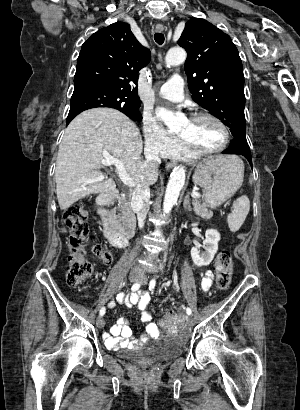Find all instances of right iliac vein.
Returning a JSON list of instances; mask_svg holds the SVG:
<instances>
[{
	"label": "right iliac vein",
	"instance_id": "63e3f726",
	"mask_svg": "<svg viewBox=\"0 0 300 410\" xmlns=\"http://www.w3.org/2000/svg\"><path fill=\"white\" fill-rule=\"evenodd\" d=\"M129 280H130V282H137V281L139 280L138 274L135 273V272L130 273V274H129ZM96 324H97V326H98L99 328H103V327H104L105 321H104V319H103L102 316H98V317H97V319H96Z\"/></svg>",
	"mask_w": 300,
	"mask_h": 410
}]
</instances>
